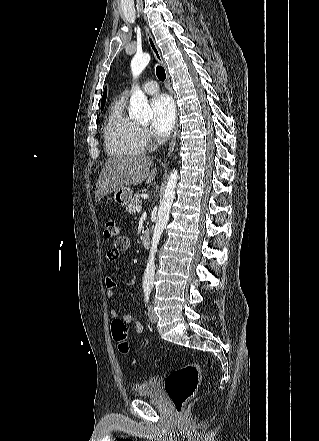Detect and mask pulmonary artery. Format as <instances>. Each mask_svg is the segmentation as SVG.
I'll return each instance as SVG.
<instances>
[{
  "label": "pulmonary artery",
  "instance_id": "e3ab8cb5",
  "mask_svg": "<svg viewBox=\"0 0 319 441\" xmlns=\"http://www.w3.org/2000/svg\"><path fill=\"white\" fill-rule=\"evenodd\" d=\"M159 87L156 81H147L143 84L142 86V90L143 92H145L146 94H155L158 91Z\"/></svg>",
  "mask_w": 319,
  "mask_h": 441
}]
</instances>
